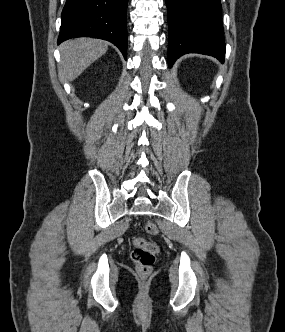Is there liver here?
I'll list each match as a JSON object with an SVG mask.
<instances>
[{
	"instance_id": "obj_1",
	"label": "liver",
	"mask_w": 285,
	"mask_h": 332,
	"mask_svg": "<svg viewBox=\"0 0 285 332\" xmlns=\"http://www.w3.org/2000/svg\"><path fill=\"white\" fill-rule=\"evenodd\" d=\"M107 50L106 41L93 38H75L62 43L60 70L63 77L73 81Z\"/></svg>"
}]
</instances>
